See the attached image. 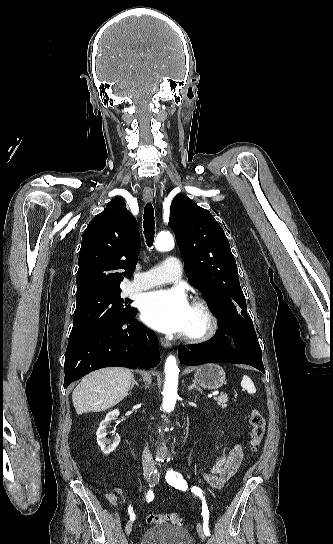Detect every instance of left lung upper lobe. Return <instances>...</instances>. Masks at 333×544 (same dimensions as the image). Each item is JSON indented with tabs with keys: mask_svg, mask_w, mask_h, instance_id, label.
Wrapping results in <instances>:
<instances>
[{
	"mask_svg": "<svg viewBox=\"0 0 333 544\" xmlns=\"http://www.w3.org/2000/svg\"><path fill=\"white\" fill-rule=\"evenodd\" d=\"M169 226L186 262L189 282L215 306L224 325L250 322L237 266L227 237L212 214L177 195Z\"/></svg>",
	"mask_w": 333,
	"mask_h": 544,
	"instance_id": "5c2ea615",
	"label": "left lung upper lobe"
}]
</instances>
